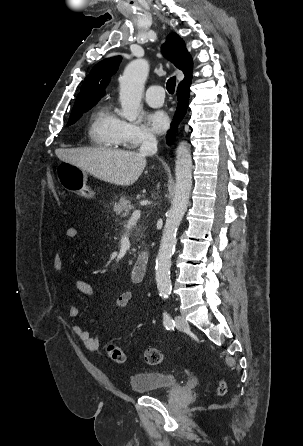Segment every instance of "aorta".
<instances>
[{
  "label": "aorta",
  "instance_id": "obj_1",
  "mask_svg": "<svg viewBox=\"0 0 303 446\" xmlns=\"http://www.w3.org/2000/svg\"><path fill=\"white\" fill-rule=\"evenodd\" d=\"M149 73V64L144 59L129 63L120 79V115L128 121H135L141 110V98L144 84ZM175 194L156 258V284L159 295L167 298L171 293L170 268L171 257L177 243V229L187 210L192 189V158L187 142H180L176 149Z\"/></svg>",
  "mask_w": 303,
  "mask_h": 446
}]
</instances>
